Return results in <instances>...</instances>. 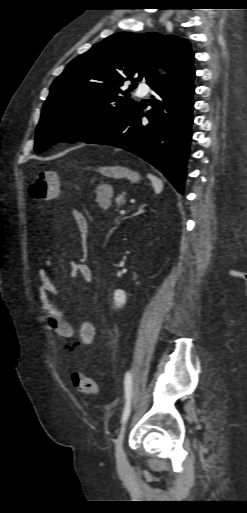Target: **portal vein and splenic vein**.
<instances>
[{"mask_svg":"<svg viewBox=\"0 0 247 513\" xmlns=\"http://www.w3.org/2000/svg\"><path fill=\"white\" fill-rule=\"evenodd\" d=\"M125 213H126V211H125V210H121V211H120V214H121V215H124Z\"/></svg>","mask_w":247,"mask_h":513,"instance_id":"1","label":"portal vein and splenic vein"}]
</instances>
